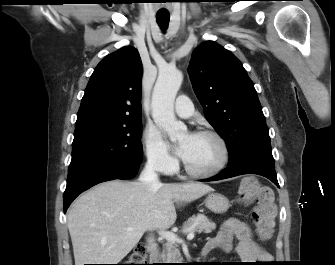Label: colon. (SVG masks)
<instances>
[{
	"instance_id": "1",
	"label": "colon",
	"mask_w": 335,
	"mask_h": 265,
	"mask_svg": "<svg viewBox=\"0 0 335 265\" xmlns=\"http://www.w3.org/2000/svg\"><path fill=\"white\" fill-rule=\"evenodd\" d=\"M239 200L243 203H255L253 218L259 237L266 241L273 234L277 206L272 188L262 185L256 177L250 176L242 180L238 190ZM147 250L143 245H138L130 255L129 264L146 265Z\"/></svg>"
}]
</instances>
